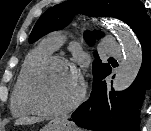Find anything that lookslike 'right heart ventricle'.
<instances>
[{
  "label": "right heart ventricle",
  "mask_w": 151,
  "mask_h": 131,
  "mask_svg": "<svg viewBox=\"0 0 151 131\" xmlns=\"http://www.w3.org/2000/svg\"><path fill=\"white\" fill-rule=\"evenodd\" d=\"M53 51L54 49L48 44V42L43 41L27 54L11 93L10 109L14 116H26L30 113L22 101V91L25 76L29 68L35 62L46 56L52 55Z\"/></svg>",
  "instance_id": "obj_1"
}]
</instances>
